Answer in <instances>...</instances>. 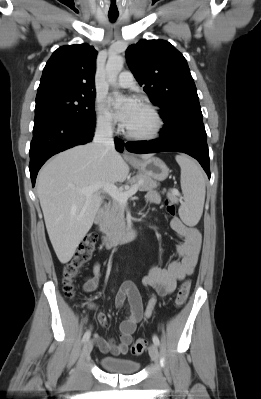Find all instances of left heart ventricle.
Instances as JSON below:
<instances>
[{"label":"left heart ventricle","instance_id":"1","mask_svg":"<svg viewBox=\"0 0 261 399\" xmlns=\"http://www.w3.org/2000/svg\"><path fill=\"white\" fill-rule=\"evenodd\" d=\"M154 126V119L143 106L135 113L126 128L133 133H146Z\"/></svg>","mask_w":261,"mask_h":399}]
</instances>
